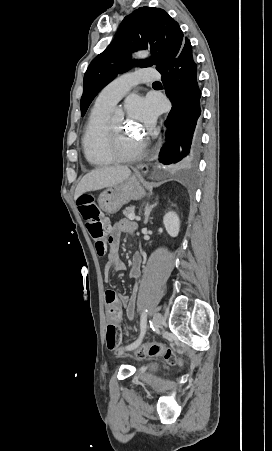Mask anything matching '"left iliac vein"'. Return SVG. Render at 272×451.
<instances>
[{"label": "left iliac vein", "mask_w": 272, "mask_h": 451, "mask_svg": "<svg viewBox=\"0 0 272 451\" xmlns=\"http://www.w3.org/2000/svg\"><path fill=\"white\" fill-rule=\"evenodd\" d=\"M164 323L163 315L160 312H155L153 315V324L156 328H159Z\"/></svg>", "instance_id": "obj_1"}]
</instances>
